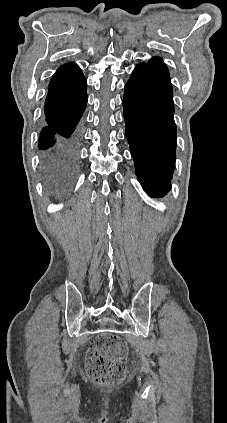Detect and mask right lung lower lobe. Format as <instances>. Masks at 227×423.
Listing matches in <instances>:
<instances>
[{
	"label": "right lung lower lobe",
	"mask_w": 227,
	"mask_h": 423,
	"mask_svg": "<svg viewBox=\"0 0 227 423\" xmlns=\"http://www.w3.org/2000/svg\"><path fill=\"white\" fill-rule=\"evenodd\" d=\"M87 99L86 90L68 96L53 93L47 95V125L40 133L38 147L42 151V173L50 188H66L75 176L81 143V131L77 125Z\"/></svg>",
	"instance_id": "98d812e1"
}]
</instances>
